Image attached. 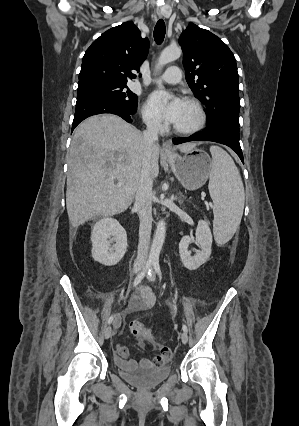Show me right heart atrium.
Wrapping results in <instances>:
<instances>
[{
  "label": "right heart atrium",
  "instance_id": "d8ad5b80",
  "mask_svg": "<svg viewBox=\"0 0 299 426\" xmlns=\"http://www.w3.org/2000/svg\"><path fill=\"white\" fill-rule=\"evenodd\" d=\"M142 116L144 119V122L152 129H159L162 127V124L160 120L154 116L148 107L145 105L142 109Z\"/></svg>",
  "mask_w": 299,
  "mask_h": 426
}]
</instances>
